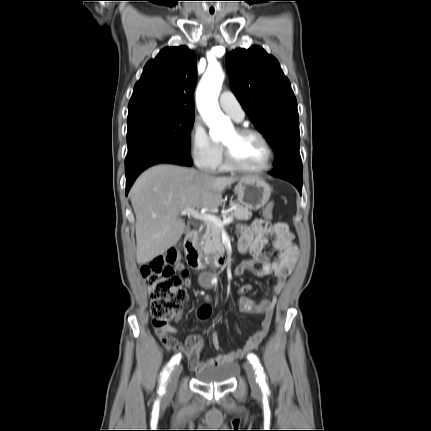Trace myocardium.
I'll return each mask as SVG.
<instances>
[{
	"instance_id": "myocardium-1",
	"label": "myocardium",
	"mask_w": 431,
	"mask_h": 431,
	"mask_svg": "<svg viewBox=\"0 0 431 431\" xmlns=\"http://www.w3.org/2000/svg\"><path fill=\"white\" fill-rule=\"evenodd\" d=\"M235 131L239 134V135H254L256 137H258L260 139V141L263 143V145L266 148L267 151V161L266 163L258 168H248V167H244L242 165H240L233 157L230 149L223 144L224 147V157H225V163L226 165L234 171L237 172H241V173H262L265 171H268L272 165H273V161H274V151L273 148L270 144V142L268 141V139L265 137V135L260 132L259 130L255 129V128H251V127H237L235 129Z\"/></svg>"
}]
</instances>
